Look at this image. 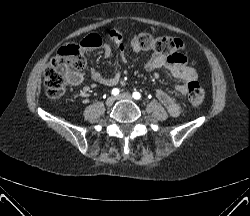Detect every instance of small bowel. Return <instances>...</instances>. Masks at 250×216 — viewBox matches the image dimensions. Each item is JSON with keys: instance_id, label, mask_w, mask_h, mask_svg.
<instances>
[{"instance_id": "small-bowel-1", "label": "small bowel", "mask_w": 250, "mask_h": 216, "mask_svg": "<svg viewBox=\"0 0 250 216\" xmlns=\"http://www.w3.org/2000/svg\"><path fill=\"white\" fill-rule=\"evenodd\" d=\"M113 37L115 44L120 51L122 60L123 62H125V45L122 42L120 36H116L114 34ZM101 46L102 39L98 34H90L81 41V48L84 52L94 50ZM103 48L105 54L108 55L109 50L106 47ZM132 49L134 51L141 50V48L135 43H132ZM144 68L146 71L149 72L159 68H165L169 70L170 75L173 79H178L182 81V83L176 87L177 93L182 96L187 94L188 83L197 78L195 70L188 65L186 57L181 53L165 55L155 52L151 56V58L145 63ZM91 77L95 82L105 86L117 85L121 80L120 73H116L113 76H106L101 74L94 67L91 68ZM82 81L83 75L80 73H75L69 79V82L72 85H79ZM156 97L172 116H178L181 113L182 107L180 103H178L173 97L167 94L163 89L156 90Z\"/></svg>"}]
</instances>
